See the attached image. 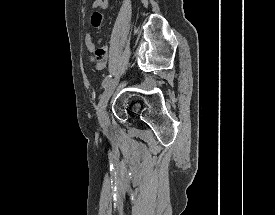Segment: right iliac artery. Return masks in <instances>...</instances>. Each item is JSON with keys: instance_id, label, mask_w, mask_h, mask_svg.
Segmentation results:
<instances>
[{"instance_id": "obj_1", "label": "right iliac artery", "mask_w": 275, "mask_h": 215, "mask_svg": "<svg viewBox=\"0 0 275 215\" xmlns=\"http://www.w3.org/2000/svg\"><path fill=\"white\" fill-rule=\"evenodd\" d=\"M110 78H111V73L103 80V83H102L103 88L107 86V84L110 81Z\"/></svg>"}]
</instances>
